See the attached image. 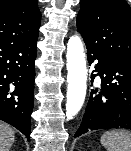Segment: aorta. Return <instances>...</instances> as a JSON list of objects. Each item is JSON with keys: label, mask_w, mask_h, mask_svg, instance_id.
Masks as SVG:
<instances>
[{"label": "aorta", "mask_w": 131, "mask_h": 151, "mask_svg": "<svg viewBox=\"0 0 131 151\" xmlns=\"http://www.w3.org/2000/svg\"><path fill=\"white\" fill-rule=\"evenodd\" d=\"M67 102L66 117L71 120L83 106L87 90L86 58L79 36L70 37L67 44Z\"/></svg>", "instance_id": "1"}]
</instances>
